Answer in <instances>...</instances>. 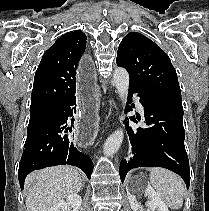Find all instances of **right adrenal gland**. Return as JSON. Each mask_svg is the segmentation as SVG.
Masks as SVG:
<instances>
[{
  "label": "right adrenal gland",
  "mask_w": 209,
  "mask_h": 211,
  "mask_svg": "<svg viewBox=\"0 0 209 211\" xmlns=\"http://www.w3.org/2000/svg\"><path fill=\"white\" fill-rule=\"evenodd\" d=\"M82 186L85 187V183L84 182H83Z\"/></svg>",
  "instance_id": "obj_1"
}]
</instances>
